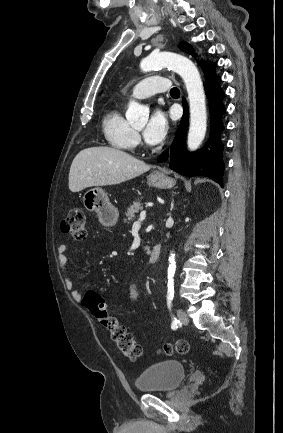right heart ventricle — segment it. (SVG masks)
<instances>
[{"mask_svg":"<svg viewBox=\"0 0 283 433\" xmlns=\"http://www.w3.org/2000/svg\"><path fill=\"white\" fill-rule=\"evenodd\" d=\"M102 129L106 139L116 148L130 144L135 135L132 124L123 116L119 107L103 116Z\"/></svg>","mask_w":283,"mask_h":433,"instance_id":"e07e8e85","label":"right heart ventricle"}]
</instances>
